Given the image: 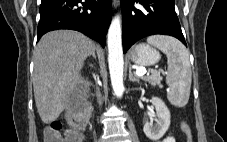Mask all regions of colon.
Listing matches in <instances>:
<instances>
[{
    "instance_id": "5ec220e1",
    "label": "colon",
    "mask_w": 227,
    "mask_h": 142,
    "mask_svg": "<svg viewBox=\"0 0 227 142\" xmlns=\"http://www.w3.org/2000/svg\"><path fill=\"white\" fill-rule=\"evenodd\" d=\"M87 112L76 110L70 114V126L64 127L59 121L52 122L44 132V142H80L78 132L85 127ZM182 133L186 142H192L189 126L182 122Z\"/></svg>"
}]
</instances>
